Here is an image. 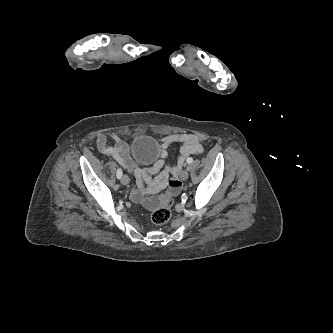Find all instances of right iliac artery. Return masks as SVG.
Masks as SVG:
<instances>
[{
  "label": "right iliac artery",
  "instance_id": "1",
  "mask_svg": "<svg viewBox=\"0 0 333 333\" xmlns=\"http://www.w3.org/2000/svg\"><path fill=\"white\" fill-rule=\"evenodd\" d=\"M122 174H123L122 169H121V168H118L117 173H116L117 178H118V179H121Z\"/></svg>",
  "mask_w": 333,
  "mask_h": 333
}]
</instances>
